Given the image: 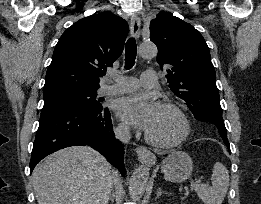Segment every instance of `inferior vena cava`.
Listing matches in <instances>:
<instances>
[{
	"label": "inferior vena cava",
	"mask_w": 261,
	"mask_h": 204,
	"mask_svg": "<svg viewBox=\"0 0 261 204\" xmlns=\"http://www.w3.org/2000/svg\"><path fill=\"white\" fill-rule=\"evenodd\" d=\"M115 136L123 143H128L130 140V131L128 127H118L115 129Z\"/></svg>",
	"instance_id": "1"
}]
</instances>
